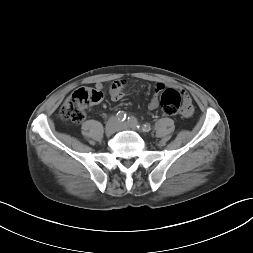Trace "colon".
Returning <instances> with one entry per match:
<instances>
[{"label": "colon", "instance_id": "1", "mask_svg": "<svg viewBox=\"0 0 253 253\" xmlns=\"http://www.w3.org/2000/svg\"><path fill=\"white\" fill-rule=\"evenodd\" d=\"M102 98V90L81 87L67 97L60 110V116L63 120L81 123L85 119L86 109L99 103ZM160 104L164 115H176L181 112L182 96L176 89H164L160 96Z\"/></svg>", "mask_w": 253, "mask_h": 253}]
</instances>
